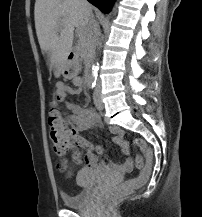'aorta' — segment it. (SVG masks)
<instances>
[{"label": "aorta", "instance_id": "aorta-1", "mask_svg": "<svg viewBox=\"0 0 202 217\" xmlns=\"http://www.w3.org/2000/svg\"><path fill=\"white\" fill-rule=\"evenodd\" d=\"M97 70H98V66L93 65V66H92V75H93L94 81H96V73H97Z\"/></svg>", "mask_w": 202, "mask_h": 217}]
</instances>
